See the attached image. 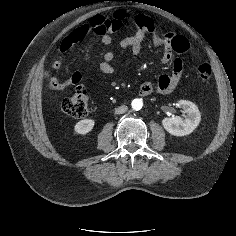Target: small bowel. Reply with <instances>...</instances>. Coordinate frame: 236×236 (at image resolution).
Listing matches in <instances>:
<instances>
[{
    "label": "small bowel",
    "instance_id": "obj_1",
    "mask_svg": "<svg viewBox=\"0 0 236 236\" xmlns=\"http://www.w3.org/2000/svg\"><path fill=\"white\" fill-rule=\"evenodd\" d=\"M137 30L134 34L126 36L121 39L119 45L122 49H130L134 55L140 53L143 45V40L146 34H150L151 41L154 46L162 47L163 53L161 55L160 61L163 64H172V73L170 75H161L158 78L156 88L149 82H145L140 86L139 93L142 96L150 95L156 89L160 94L167 95L173 92L176 86L179 84L183 71L184 63L181 55L188 52L190 45L188 40L181 35L169 32L165 34H159L154 28L153 21L146 17L144 20L139 21L136 24ZM95 33L100 37V41L104 45H112V37L110 32L102 31L100 28H96ZM73 35L66 37L59 49V55L52 64V71L59 72L62 68V55L67 52L73 44ZM114 51L108 50L104 53L103 59L99 64L100 70L105 74H112L114 72V67L112 61L114 59ZM51 70L45 72L44 76L47 80L48 88L53 91H61L67 89L73 85L80 82L81 76L78 72H74L71 76L65 80L61 81L57 79Z\"/></svg>",
    "mask_w": 236,
    "mask_h": 236
}]
</instances>
